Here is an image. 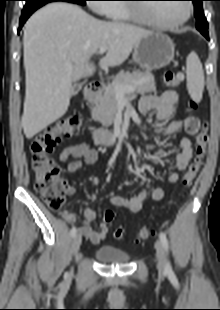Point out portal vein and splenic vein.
Instances as JSON below:
<instances>
[{"mask_svg": "<svg viewBox=\"0 0 220 310\" xmlns=\"http://www.w3.org/2000/svg\"><path fill=\"white\" fill-rule=\"evenodd\" d=\"M107 51L106 47H100L98 53L99 54H104ZM69 69H72V65H69ZM134 91V87L132 86H121V85H116L115 86V93L116 97L122 98L124 97L125 93H132Z\"/></svg>", "mask_w": 220, "mask_h": 310, "instance_id": "obj_1", "label": "portal vein and splenic vein"}]
</instances>
